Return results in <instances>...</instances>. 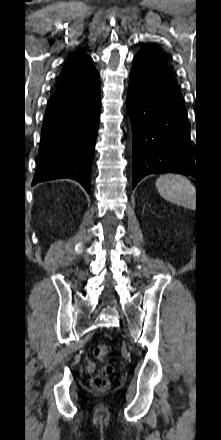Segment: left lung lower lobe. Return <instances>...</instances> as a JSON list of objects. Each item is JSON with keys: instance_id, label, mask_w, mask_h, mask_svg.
<instances>
[{"instance_id": "0a47b994", "label": "left lung lower lobe", "mask_w": 221, "mask_h": 440, "mask_svg": "<svg viewBox=\"0 0 221 440\" xmlns=\"http://www.w3.org/2000/svg\"><path fill=\"white\" fill-rule=\"evenodd\" d=\"M127 111L132 123L133 188L153 173L197 178L185 103L168 64L149 50L141 49L133 58Z\"/></svg>"}]
</instances>
